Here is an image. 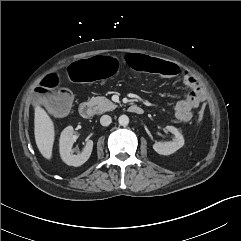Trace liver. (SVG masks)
<instances>
[{"label":"liver","instance_id":"1","mask_svg":"<svg viewBox=\"0 0 241 241\" xmlns=\"http://www.w3.org/2000/svg\"><path fill=\"white\" fill-rule=\"evenodd\" d=\"M34 135L36 145L44 158H52L55 137L54 124L46 111L40 106L35 107Z\"/></svg>","mask_w":241,"mask_h":241}]
</instances>
